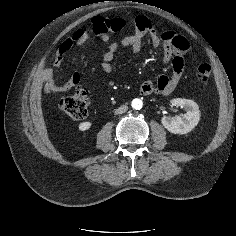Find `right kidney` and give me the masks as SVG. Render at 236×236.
<instances>
[{
    "mask_svg": "<svg viewBox=\"0 0 236 236\" xmlns=\"http://www.w3.org/2000/svg\"><path fill=\"white\" fill-rule=\"evenodd\" d=\"M91 125H92V123H91V122H88V121H86V122H81V123L78 125V129H79L80 131H86V130L90 129Z\"/></svg>",
    "mask_w": 236,
    "mask_h": 236,
    "instance_id": "obj_1",
    "label": "right kidney"
}]
</instances>
